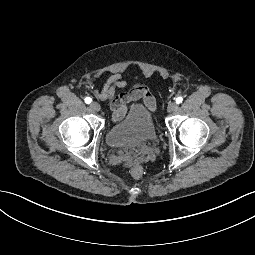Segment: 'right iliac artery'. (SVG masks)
Segmentation results:
<instances>
[{"label":"right iliac artery","instance_id":"right-iliac-artery-1","mask_svg":"<svg viewBox=\"0 0 255 255\" xmlns=\"http://www.w3.org/2000/svg\"><path fill=\"white\" fill-rule=\"evenodd\" d=\"M91 101H92V99H91L90 97H86V98H85V102H86L87 104L91 103Z\"/></svg>","mask_w":255,"mask_h":255}]
</instances>
